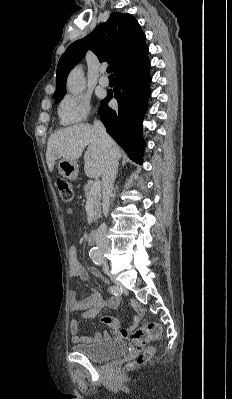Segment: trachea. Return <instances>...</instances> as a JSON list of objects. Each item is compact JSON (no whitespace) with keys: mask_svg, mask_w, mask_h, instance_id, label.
<instances>
[{"mask_svg":"<svg viewBox=\"0 0 232 399\" xmlns=\"http://www.w3.org/2000/svg\"><path fill=\"white\" fill-rule=\"evenodd\" d=\"M111 71H112V67H111V65H109V66L107 67V73L110 74L109 77H113Z\"/></svg>","mask_w":232,"mask_h":399,"instance_id":"trachea-1","label":"trachea"}]
</instances>
